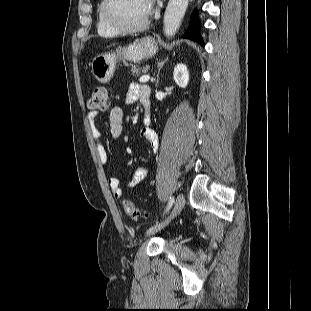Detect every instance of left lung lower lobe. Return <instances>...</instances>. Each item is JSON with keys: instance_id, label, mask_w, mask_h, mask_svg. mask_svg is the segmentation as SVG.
Returning a JSON list of instances; mask_svg holds the SVG:
<instances>
[{"instance_id": "0a47b994", "label": "left lung lower lobe", "mask_w": 311, "mask_h": 311, "mask_svg": "<svg viewBox=\"0 0 311 311\" xmlns=\"http://www.w3.org/2000/svg\"><path fill=\"white\" fill-rule=\"evenodd\" d=\"M183 38L197 41L203 45V40L199 34V20L194 13L191 16L189 28L184 33Z\"/></svg>"}]
</instances>
